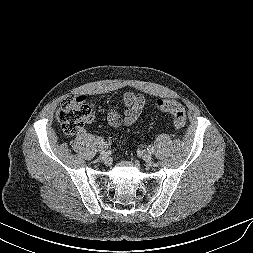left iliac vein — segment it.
<instances>
[{"label":"left iliac vein","instance_id":"obj_1","mask_svg":"<svg viewBox=\"0 0 253 253\" xmlns=\"http://www.w3.org/2000/svg\"><path fill=\"white\" fill-rule=\"evenodd\" d=\"M142 159L148 163V164H151L152 163V155L149 151L147 150H144L142 151Z\"/></svg>","mask_w":253,"mask_h":253}]
</instances>
